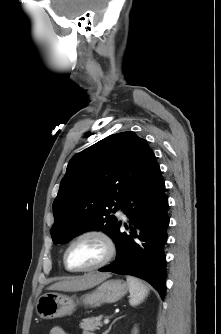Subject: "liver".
I'll return each mask as SVG.
<instances>
[{
	"label": "liver",
	"instance_id": "6515ba94",
	"mask_svg": "<svg viewBox=\"0 0 221 334\" xmlns=\"http://www.w3.org/2000/svg\"><path fill=\"white\" fill-rule=\"evenodd\" d=\"M110 277L109 273H88L81 277L54 283L48 290L81 291L92 288Z\"/></svg>",
	"mask_w": 221,
	"mask_h": 334
}]
</instances>
